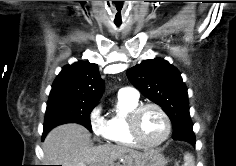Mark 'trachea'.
<instances>
[{
  "instance_id": "1",
  "label": "trachea",
  "mask_w": 236,
  "mask_h": 166,
  "mask_svg": "<svg viewBox=\"0 0 236 166\" xmlns=\"http://www.w3.org/2000/svg\"><path fill=\"white\" fill-rule=\"evenodd\" d=\"M116 26H118V27H119V26H120V24H116Z\"/></svg>"
}]
</instances>
